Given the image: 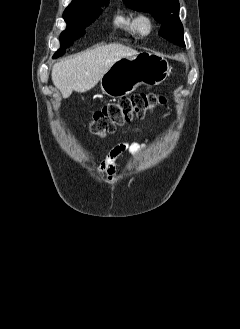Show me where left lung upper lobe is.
I'll return each mask as SVG.
<instances>
[{"instance_id": "1", "label": "left lung upper lobe", "mask_w": 240, "mask_h": 329, "mask_svg": "<svg viewBox=\"0 0 240 329\" xmlns=\"http://www.w3.org/2000/svg\"><path fill=\"white\" fill-rule=\"evenodd\" d=\"M126 5L135 10L152 13L161 23L159 35L170 42L184 46L183 26L179 19L178 0H123Z\"/></svg>"}]
</instances>
